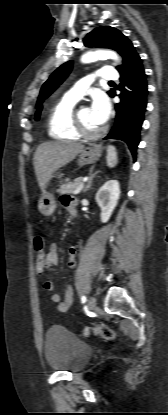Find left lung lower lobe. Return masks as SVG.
<instances>
[{"mask_svg":"<svg viewBox=\"0 0 168 415\" xmlns=\"http://www.w3.org/2000/svg\"><path fill=\"white\" fill-rule=\"evenodd\" d=\"M120 75L121 102L115 107L117 111L115 125L104 139L124 141L135 159L148 93L146 74L138 54L130 60ZM110 96H116L114 89Z\"/></svg>","mask_w":168,"mask_h":415,"instance_id":"left-lung-lower-lobe-1","label":"left lung lower lobe"}]
</instances>
